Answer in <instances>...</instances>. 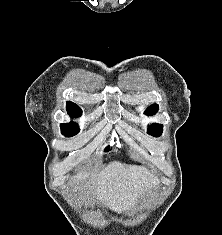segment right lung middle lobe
Returning a JSON list of instances; mask_svg holds the SVG:
<instances>
[{
	"label": "right lung middle lobe",
	"instance_id": "1",
	"mask_svg": "<svg viewBox=\"0 0 222 235\" xmlns=\"http://www.w3.org/2000/svg\"><path fill=\"white\" fill-rule=\"evenodd\" d=\"M62 134L66 137H71L79 133L80 129L75 122L61 124ZM110 147L108 146L105 151H109Z\"/></svg>",
	"mask_w": 222,
	"mask_h": 235
}]
</instances>
